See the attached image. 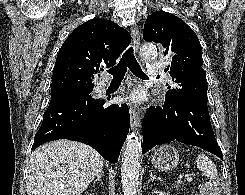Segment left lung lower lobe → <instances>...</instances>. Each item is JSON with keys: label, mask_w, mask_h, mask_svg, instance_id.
<instances>
[{"label": "left lung lower lobe", "mask_w": 245, "mask_h": 195, "mask_svg": "<svg viewBox=\"0 0 245 195\" xmlns=\"http://www.w3.org/2000/svg\"><path fill=\"white\" fill-rule=\"evenodd\" d=\"M177 140L198 146L223 159L210 122L207 103L185 99L148 109L143 120L142 153Z\"/></svg>", "instance_id": "1"}]
</instances>
